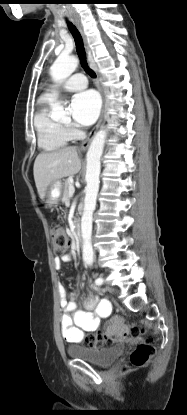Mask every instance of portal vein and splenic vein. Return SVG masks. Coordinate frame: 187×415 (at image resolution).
I'll return each mask as SVG.
<instances>
[{
    "instance_id": "portal-vein-and-splenic-vein-1",
    "label": "portal vein and splenic vein",
    "mask_w": 187,
    "mask_h": 415,
    "mask_svg": "<svg viewBox=\"0 0 187 415\" xmlns=\"http://www.w3.org/2000/svg\"><path fill=\"white\" fill-rule=\"evenodd\" d=\"M74 192H75V188H74V186H73V185H71V186H70V189H69V195H70V197H72V196H73Z\"/></svg>"
}]
</instances>
